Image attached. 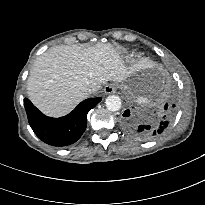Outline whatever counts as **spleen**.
<instances>
[{"instance_id": "spleen-1", "label": "spleen", "mask_w": 205, "mask_h": 205, "mask_svg": "<svg viewBox=\"0 0 205 205\" xmlns=\"http://www.w3.org/2000/svg\"><path fill=\"white\" fill-rule=\"evenodd\" d=\"M136 102L138 104H145V103H148L149 100L147 98H144V97H139V98H137Z\"/></svg>"}]
</instances>
